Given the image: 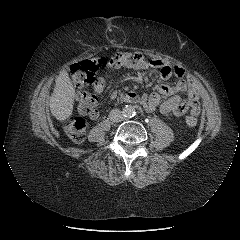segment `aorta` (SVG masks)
<instances>
[{"instance_id":"obj_1","label":"aorta","mask_w":240,"mask_h":240,"mask_svg":"<svg viewBox=\"0 0 240 240\" xmlns=\"http://www.w3.org/2000/svg\"><path fill=\"white\" fill-rule=\"evenodd\" d=\"M123 114L125 117H128V118H132L136 115V109L134 106L132 105H126L124 108H123Z\"/></svg>"}]
</instances>
